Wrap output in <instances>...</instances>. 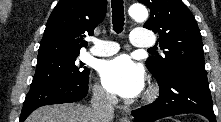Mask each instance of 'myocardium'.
<instances>
[{"label":"myocardium","instance_id":"myocardium-1","mask_svg":"<svg viewBox=\"0 0 221 122\" xmlns=\"http://www.w3.org/2000/svg\"><path fill=\"white\" fill-rule=\"evenodd\" d=\"M155 94H156V91H155V90H152V91L149 92V94H148L147 97H148L149 99H151V98H153V97L155 96Z\"/></svg>","mask_w":221,"mask_h":122}]
</instances>
